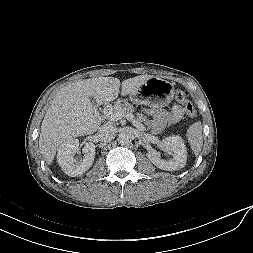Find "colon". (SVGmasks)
<instances>
[{
	"label": "colon",
	"instance_id": "1",
	"mask_svg": "<svg viewBox=\"0 0 253 253\" xmlns=\"http://www.w3.org/2000/svg\"><path fill=\"white\" fill-rule=\"evenodd\" d=\"M175 98L182 105L183 110L188 117L193 118L196 116V110L184 91L177 90Z\"/></svg>",
	"mask_w": 253,
	"mask_h": 253
}]
</instances>
